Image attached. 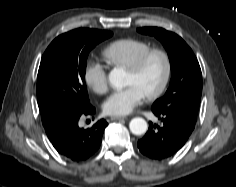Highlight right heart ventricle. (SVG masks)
Listing matches in <instances>:
<instances>
[{"label": "right heart ventricle", "instance_id": "obj_1", "mask_svg": "<svg viewBox=\"0 0 236 187\" xmlns=\"http://www.w3.org/2000/svg\"><path fill=\"white\" fill-rule=\"evenodd\" d=\"M150 49L151 46L145 41L123 38L107 45L101 55L110 66L127 69L141 54Z\"/></svg>", "mask_w": 236, "mask_h": 187}]
</instances>
